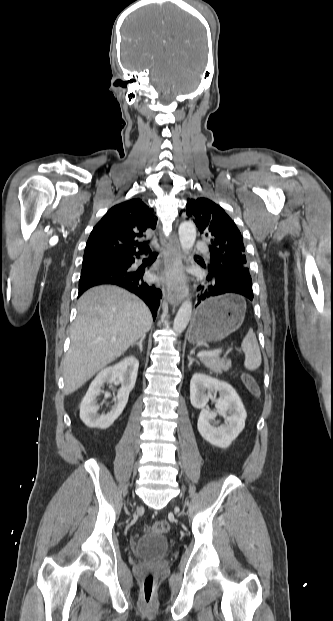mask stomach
Wrapping results in <instances>:
<instances>
[{
	"instance_id": "0dacf381",
	"label": "stomach",
	"mask_w": 333,
	"mask_h": 621,
	"mask_svg": "<svg viewBox=\"0 0 333 621\" xmlns=\"http://www.w3.org/2000/svg\"><path fill=\"white\" fill-rule=\"evenodd\" d=\"M245 303L237 295L210 298L196 310L188 332L193 344L219 342L236 331L243 323Z\"/></svg>"
}]
</instances>
